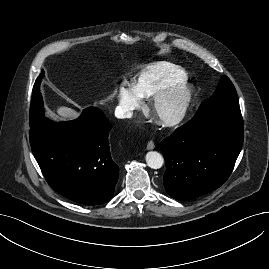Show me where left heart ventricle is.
Listing matches in <instances>:
<instances>
[{
    "label": "left heart ventricle",
    "instance_id": "left-heart-ventricle-1",
    "mask_svg": "<svg viewBox=\"0 0 269 269\" xmlns=\"http://www.w3.org/2000/svg\"><path fill=\"white\" fill-rule=\"evenodd\" d=\"M175 109H176V102L169 101L161 105L159 109V114L162 116H168L174 113Z\"/></svg>",
    "mask_w": 269,
    "mask_h": 269
}]
</instances>
